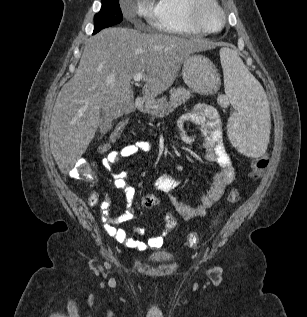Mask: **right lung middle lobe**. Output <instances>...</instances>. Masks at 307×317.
<instances>
[{"label": "right lung middle lobe", "mask_w": 307, "mask_h": 317, "mask_svg": "<svg viewBox=\"0 0 307 317\" xmlns=\"http://www.w3.org/2000/svg\"><path fill=\"white\" fill-rule=\"evenodd\" d=\"M122 19L119 0H102L101 10L94 16L93 34H96L103 28L120 23Z\"/></svg>", "instance_id": "obj_1"}]
</instances>
